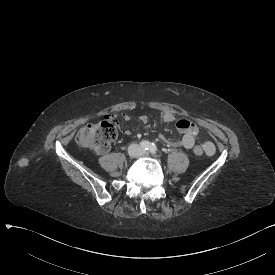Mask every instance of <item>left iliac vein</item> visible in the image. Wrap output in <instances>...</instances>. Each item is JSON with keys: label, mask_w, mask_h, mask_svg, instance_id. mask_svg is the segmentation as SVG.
<instances>
[{"label": "left iliac vein", "mask_w": 275, "mask_h": 275, "mask_svg": "<svg viewBox=\"0 0 275 275\" xmlns=\"http://www.w3.org/2000/svg\"><path fill=\"white\" fill-rule=\"evenodd\" d=\"M143 155H145L146 153L145 152H142Z\"/></svg>", "instance_id": "left-iliac-vein-1"}]
</instances>
